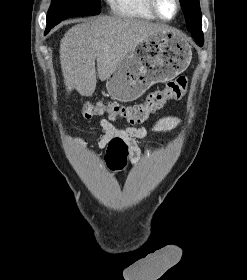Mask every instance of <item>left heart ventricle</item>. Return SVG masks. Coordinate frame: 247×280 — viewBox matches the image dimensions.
<instances>
[{"label": "left heart ventricle", "instance_id": "1", "mask_svg": "<svg viewBox=\"0 0 247 280\" xmlns=\"http://www.w3.org/2000/svg\"><path fill=\"white\" fill-rule=\"evenodd\" d=\"M159 13L164 18H171L175 14L176 4L174 0H156Z\"/></svg>", "mask_w": 247, "mask_h": 280}]
</instances>
